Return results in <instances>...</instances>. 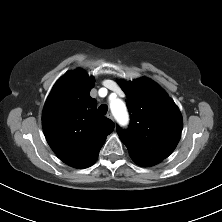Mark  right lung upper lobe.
<instances>
[{"label":"right lung upper lobe","mask_w":222,"mask_h":222,"mask_svg":"<svg viewBox=\"0 0 222 222\" xmlns=\"http://www.w3.org/2000/svg\"><path fill=\"white\" fill-rule=\"evenodd\" d=\"M95 80L82 69L69 71L54 85L42 115L47 142L64 163L75 168L93 165L114 123L96 111L90 97Z\"/></svg>","instance_id":"1"}]
</instances>
